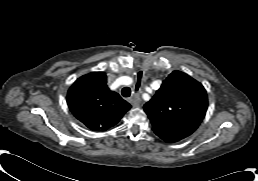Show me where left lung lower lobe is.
Masks as SVG:
<instances>
[{"mask_svg": "<svg viewBox=\"0 0 258 181\" xmlns=\"http://www.w3.org/2000/svg\"><path fill=\"white\" fill-rule=\"evenodd\" d=\"M160 138H162L166 142H176L179 141L175 138L169 137V136H163V135H158Z\"/></svg>", "mask_w": 258, "mask_h": 181, "instance_id": "left-lung-lower-lobe-1", "label": "left lung lower lobe"}]
</instances>
